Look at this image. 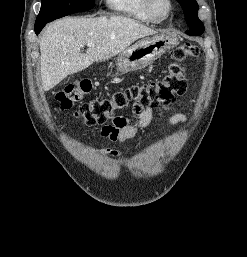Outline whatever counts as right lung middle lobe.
<instances>
[{"label":"right lung middle lobe","instance_id":"right-lung-middle-lobe-1","mask_svg":"<svg viewBox=\"0 0 247 257\" xmlns=\"http://www.w3.org/2000/svg\"><path fill=\"white\" fill-rule=\"evenodd\" d=\"M95 0H42L35 24L50 22L76 12L90 10Z\"/></svg>","mask_w":247,"mask_h":257}]
</instances>
